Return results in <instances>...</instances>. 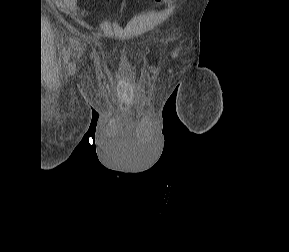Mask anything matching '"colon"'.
I'll return each mask as SVG.
<instances>
[{"mask_svg": "<svg viewBox=\"0 0 289 252\" xmlns=\"http://www.w3.org/2000/svg\"><path fill=\"white\" fill-rule=\"evenodd\" d=\"M156 2H161V0H155Z\"/></svg>", "mask_w": 289, "mask_h": 252, "instance_id": "obj_1", "label": "colon"}]
</instances>
